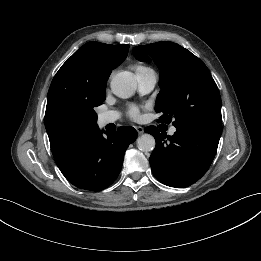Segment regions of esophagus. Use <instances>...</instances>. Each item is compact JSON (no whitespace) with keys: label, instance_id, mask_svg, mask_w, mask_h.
I'll return each instance as SVG.
<instances>
[{"label":"esophagus","instance_id":"esophagus-1","mask_svg":"<svg viewBox=\"0 0 261 261\" xmlns=\"http://www.w3.org/2000/svg\"><path fill=\"white\" fill-rule=\"evenodd\" d=\"M136 131H137V133H138L139 135H141V134L144 133V129H143V127H141V126H137V127H136Z\"/></svg>","mask_w":261,"mask_h":261}]
</instances>
